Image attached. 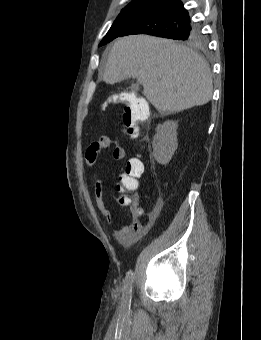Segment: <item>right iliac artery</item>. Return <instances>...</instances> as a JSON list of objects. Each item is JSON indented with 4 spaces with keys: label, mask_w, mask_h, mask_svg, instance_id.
<instances>
[{
    "label": "right iliac artery",
    "mask_w": 261,
    "mask_h": 340,
    "mask_svg": "<svg viewBox=\"0 0 261 340\" xmlns=\"http://www.w3.org/2000/svg\"><path fill=\"white\" fill-rule=\"evenodd\" d=\"M132 282H133V273L130 270L127 272L126 277H125V282H124L125 297L123 300V306L126 309L130 308V304H131Z\"/></svg>",
    "instance_id": "obj_1"
}]
</instances>
